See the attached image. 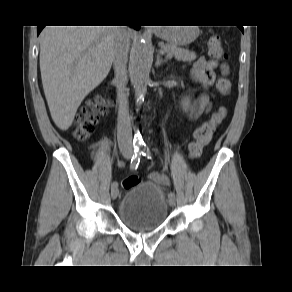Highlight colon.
I'll use <instances>...</instances> for the list:
<instances>
[{"mask_svg": "<svg viewBox=\"0 0 292 292\" xmlns=\"http://www.w3.org/2000/svg\"><path fill=\"white\" fill-rule=\"evenodd\" d=\"M209 55L219 61L227 58L219 36L213 35L209 42ZM216 88L222 95H228L231 90L230 81L226 77H219ZM108 102L102 98H97L89 102L77 117L74 127V137L77 140H86L93 132L99 115L105 112ZM227 109L224 107L215 111L212 116L199 126L194 132V141L189 145V156L191 158L200 157L204 148L210 143L217 126L226 118ZM140 183V178L136 175L128 176L123 180L122 186L125 189L131 188Z\"/></svg>", "mask_w": 292, "mask_h": 292, "instance_id": "5ec220e1", "label": "colon"}]
</instances>
